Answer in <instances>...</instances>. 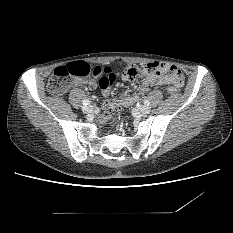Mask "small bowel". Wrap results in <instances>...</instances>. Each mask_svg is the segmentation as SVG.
I'll list each match as a JSON object with an SVG mask.
<instances>
[{"label":"small bowel","instance_id":"obj_1","mask_svg":"<svg viewBox=\"0 0 233 233\" xmlns=\"http://www.w3.org/2000/svg\"><path fill=\"white\" fill-rule=\"evenodd\" d=\"M152 68V73H150L143 81L141 90L144 91L150 86L157 85L167 87L169 90H173L178 86H181L183 83V76L179 69L175 66H171V69L162 75L164 72L163 68L167 66L166 63L153 62L149 64ZM157 73H160L158 75ZM117 78L116 73L113 70H110L105 76L101 77L98 82L93 79L84 78L76 80V84L85 85L89 88L99 87L104 96H109L111 94V88L113 83ZM138 95H129L122 94L116 98L106 99L103 103V107L106 109L118 108L123 105H130L137 101Z\"/></svg>","mask_w":233,"mask_h":233}]
</instances>
